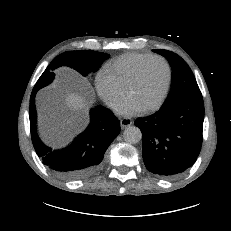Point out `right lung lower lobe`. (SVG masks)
Returning a JSON list of instances; mask_svg holds the SVG:
<instances>
[{
  "mask_svg": "<svg viewBox=\"0 0 231 231\" xmlns=\"http://www.w3.org/2000/svg\"><path fill=\"white\" fill-rule=\"evenodd\" d=\"M35 95L36 91H32L29 112L31 138L43 164L66 179L77 180L93 174L120 132L119 120L103 106L92 108L88 128L69 147L53 150L40 140L36 132Z\"/></svg>",
  "mask_w": 231,
  "mask_h": 231,
  "instance_id": "98d812e1",
  "label": "right lung lower lobe"
}]
</instances>
